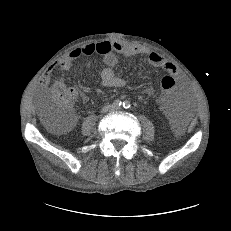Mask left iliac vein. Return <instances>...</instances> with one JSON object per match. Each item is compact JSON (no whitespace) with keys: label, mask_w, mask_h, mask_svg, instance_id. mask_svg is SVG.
<instances>
[{"label":"left iliac vein","mask_w":231,"mask_h":231,"mask_svg":"<svg viewBox=\"0 0 231 231\" xmlns=\"http://www.w3.org/2000/svg\"><path fill=\"white\" fill-rule=\"evenodd\" d=\"M117 110H119V108L114 106L113 111H117Z\"/></svg>","instance_id":"4c4485c4"}]
</instances>
